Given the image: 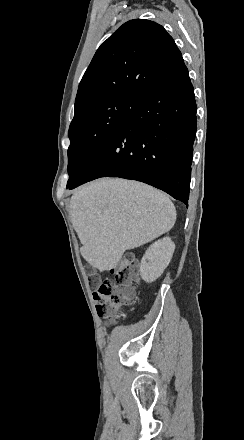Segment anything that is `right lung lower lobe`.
Returning a JSON list of instances; mask_svg holds the SVG:
<instances>
[{"label":"right lung lower lobe","mask_w":244,"mask_h":440,"mask_svg":"<svg viewBox=\"0 0 244 440\" xmlns=\"http://www.w3.org/2000/svg\"><path fill=\"white\" fill-rule=\"evenodd\" d=\"M195 134L194 89L182 64L140 98L69 188L121 177L159 188L188 206Z\"/></svg>","instance_id":"obj_1"}]
</instances>
